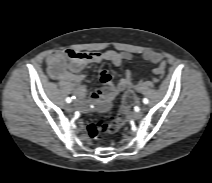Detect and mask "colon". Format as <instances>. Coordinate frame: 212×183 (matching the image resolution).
Returning a JSON list of instances; mask_svg holds the SVG:
<instances>
[{
	"mask_svg": "<svg viewBox=\"0 0 212 183\" xmlns=\"http://www.w3.org/2000/svg\"><path fill=\"white\" fill-rule=\"evenodd\" d=\"M135 102V94L128 90L122 97L119 108L108 121H96L88 126V133L92 138L101 135L111 134L119 130L124 124L128 111Z\"/></svg>",
	"mask_w": 212,
	"mask_h": 183,
	"instance_id": "5ec220e1",
	"label": "colon"
}]
</instances>
